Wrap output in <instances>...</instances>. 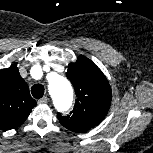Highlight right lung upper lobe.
<instances>
[{"mask_svg": "<svg viewBox=\"0 0 153 153\" xmlns=\"http://www.w3.org/2000/svg\"><path fill=\"white\" fill-rule=\"evenodd\" d=\"M36 101L30 96L27 83L12 64L0 70V128L15 129L22 125Z\"/></svg>", "mask_w": 153, "mask_h": 153, "instance_id": "right-lung-upper-lobe-1", "label": "right lung upper lobe"}]
</instances>
